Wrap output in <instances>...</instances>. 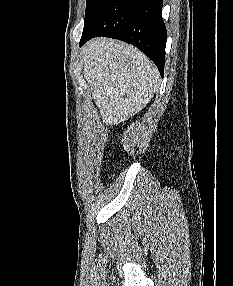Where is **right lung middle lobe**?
Here are the masks:
<instances>
[{"instance_id": "right-lung-middle-lobe-1", "label": "right lung middle lobe", "mask_w": 233, "mask_h": 286, "mask_svg": "<svg viewBox=\"0 0 233 286\" xmlns=\"http://www.w3.org/2000/svg\"><path fill=\"white\" fill-rule=\"evenodd\" d=\"M99 2L100 0H87L85 19L90 15V13L94 10V8L98 5Z\"/></svg>"}]
</instances>
